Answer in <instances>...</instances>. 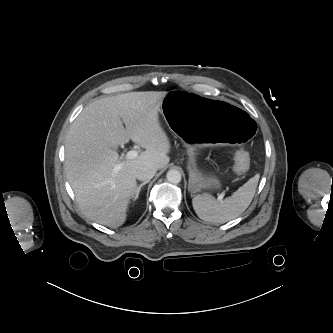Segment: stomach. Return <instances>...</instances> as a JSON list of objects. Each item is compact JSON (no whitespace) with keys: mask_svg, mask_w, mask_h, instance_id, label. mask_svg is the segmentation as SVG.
Segmentation results:
<instances>
[{"mask_svg":"<svg viewBox=\"0 0 333 333\" xmlns=\"http://www.w3.org/2000/svg\"><path fill=\"white\" fill-rule=\"evenodd\" d=\"M151 115L165 118L170 130L187 146L190 156L189 191L213 190L221 187L220 180L198 169V150L211 142L243 144L255 134V120L245 108L232 106L215 96L189 89L173 90L166 94L161 103L162 114Z\"/></svg>","mask_w":333,"mask_h":333,"instance_id":"obj_1","label":"stomach"}]
</instances>
